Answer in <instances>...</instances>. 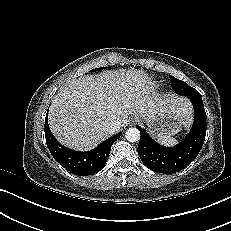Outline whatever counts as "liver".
Here are the masks:
<instances>
[{
    "mask_svg": "<svg viewBox=\"0 0 231 231\" xmlns=\"http://www.w3.org/2000/svg\"><path fill=\"white\" fill-rule=\"evenodd\" d=\"M148 77L142 71H108L73 79L54 96L48 114L50 129L57 140L72 149L87 151L116 132L108 129L112 120L127 123L129 115L149 117L170 107L180 122L192 120L190 102L178 96H151Z\"/></svg>",
    "mask_w": 231,
    "mask_h": 231,
    "instance_id": "liver-1",
    "label": "liver"
}]
</instances>
